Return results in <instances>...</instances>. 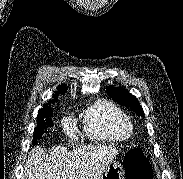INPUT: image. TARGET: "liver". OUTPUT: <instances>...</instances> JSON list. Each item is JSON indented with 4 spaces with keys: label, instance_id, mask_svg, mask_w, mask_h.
<instances>
[{
    "label": "liver",
    "instance_id": "liver-1",
    "mask_svg": "<svg viewBox=\"0 0 183 179\" xmlns=\"http://www.w3.org/2000/svg\"><path fill=\"white\" fill-rule=\"evenodd\" d=\"M117 154L115 147L92 145L73 150L56 146L45 155L37 146L29 153L23 179H100Z\"/></svg>",
    "mask_w": 183,
    "mask_h": 179
}]
</instances>
